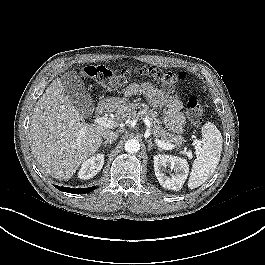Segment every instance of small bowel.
I'll return each mask as SVG.
<instances>
[{"label": "small bowel", "mask_w": 265, "mask_h": 265, "mask_svg": "<svg viewBox=\"0 0 265 265\" xmlns=\"http://www.w3.org/2000/svg\"><path fill=\"white\" fill-rule=\"evenodd\" d=\"M126 96L142 95L155 108L164 112L163 124L172 132L181 133L185 124V117L182 113V103L175 96L162 94L151 84H130L125 90Z\"/></svg>", "instance_id": "small-bowel-1"}]
</instances>
